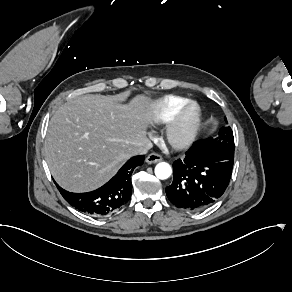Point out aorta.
<instances>
[{
	"label": "aorta",
	"instance_id": "1",
	"mask_svg": "<svg viewBox=\"0 0 292 292\" xmlns=\"http://www.w3.org/2000/svg\"><path fill=\"white\" fill-rule=\"evenodd\" d=\"M172 173L171 166L166 162H160L155 167V175L159 179H167Z\"/></svg>",
	"mask_w": 292,
	"mask_h": 292
}]
</instances>
